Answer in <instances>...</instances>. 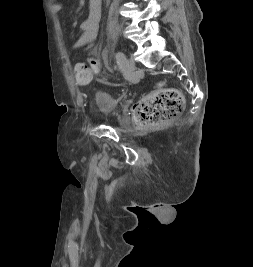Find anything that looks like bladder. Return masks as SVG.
I'll return each instance as SVG.
<instances>
[{"label": "bladder", "mask_w": 253, "mask_h": 267, "mask_svg": "<svg viewBox=\"0 0 253 267\" xmlns=\"http://www.w3.org/2000/svg\"><path fill=\"white\" fill-rule=\"evenodd\" d=\"M94 106L102 117H108L116 107V101L106 91H97L94 95Z\"/></svg>", "instance_id": "1"}]
</instances>
